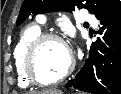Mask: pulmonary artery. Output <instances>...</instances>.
<instances>
[{
	"instance_id": "e3ab8cb5",
	"label": "pulmonary artery",
	"mask_w": 121,
	"mask_h": 94,
	"mask_svg": "<svg viewBox=\"0 0 121 94\" xmlns=\"http://www.w3.org/2000/svg\"><path fill=\"white\" fill-rule=\"evenodd\" d=\"M84 19L86 21L90 22L93 26H95V27L97 26V21L95 20V18L93 16L87 14V15L84 16ZM40 22L41 23L45 22L43 17L41 18Z\"/></svg>"
}]
</instances>
